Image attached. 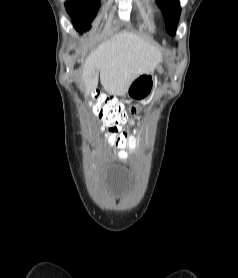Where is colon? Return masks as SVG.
Listing matches in <instances>:
<instances>
[{
    "mask_svg": "<svg viewBox=\"0 0 238 278\" xmlns=\"http://www.w3.org/2000/svg\"><path fill=\"white\" fill-rule=\"evenodd\" d=\"M91 107L94 114L110 128L105 141H98V146H110V148H101V153H104L101 158L109 159L111 156L112 159H124L125 156H130L131 152L134 153L135 149L138 148L135 138L119 137L127 136V131H119L127 117L123 104L112 96L95 92L92 96ZM139 134L143 135L144 131L140 130ZM113 142H116V144H113Z\"/></svg>",
    "mask_w": 238,
    "mask_h": 278,
    "instance_id": "1",
    "label": "colon"
}]
</instances>
